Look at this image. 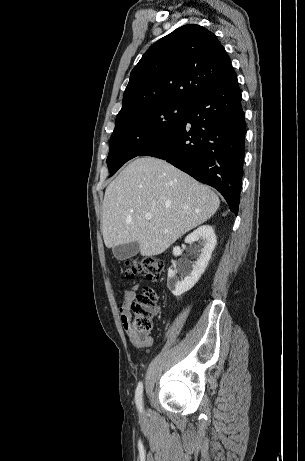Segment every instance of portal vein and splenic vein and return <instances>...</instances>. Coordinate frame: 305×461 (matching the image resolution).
Listing matches in <instances>:
<instances>
[{"label": "portal vein and splenic vein", "mask_w": 305, "mask_h": 461, "mask_svg": "<svg viewBox=\"0 0 305 461\" xmlns=\"http://www.w3.org/2000/svg\"><path fill=\"white\" fill-rule=\"evenodd\" d=\"M145 218H146L147 220H151V219H152V214H151V213H146V214H145Z\"/></svg>", "instance_id": "obj_1"}]
</instances>
